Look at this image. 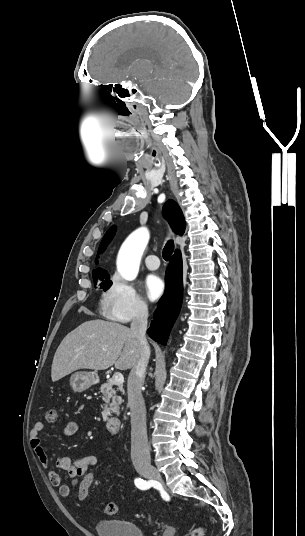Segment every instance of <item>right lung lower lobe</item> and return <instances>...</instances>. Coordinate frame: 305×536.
<instances>
[{
  "instance_id": "right-lung-lower-lobe-1",
  "label": "right lung lower lobe",
  "mask_w": 305,
  "mask_h": 536,
  "mask_svg": "<svg viewBox=\"0 0 305 536\" xmlns=\"http://www.w3.org/2000/svg\"><path fill=\"white\" fill-rule=\"evenodd\" d=\"M183 296L182 257L175 253L170 259L166 273L165 295L159 302L154 320L147 333L162 345H166L170 330L179 314Z\"/></svg>"
}]
</instances>
